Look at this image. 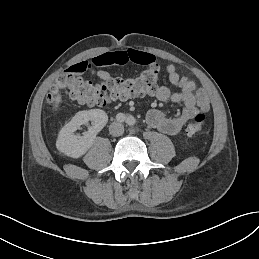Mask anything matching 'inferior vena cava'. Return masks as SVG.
<instances>
[{
    "mask_svg": "<svg viewBox=\"0 0 259 259\" xmlns=\"http://www.w3.org/2000/svg\"><path fill=\"white\" fill-rule=\"evenodd\" d=\"M110 134L120 136L124 133V126L119 122H113L109 127Z\"/></svg>",
    "mask_w": 259,
    "mask_h": 259,
    "instance_id": "602c4592",
    "label": "inferior vena cava"
}]
</instances>
